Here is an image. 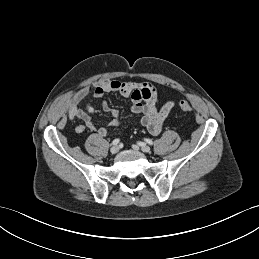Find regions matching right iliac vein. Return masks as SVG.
Returning a JSON list of instances; mask_svg holds the SVG:
<instances>
[{
  "mask_svg": "<svg viewBox=\"0 0 259 259\" xmlns=\"http://www.w3.org/2000/svg\"><path fill=\"white\" fill-rule=\"evenodd\" d=\"M118 151H119V147H118V146H113V147L110 149V152H111L112 154H116Z\"/></svg>",
  "mask_w": 259,
  "mask_h": 259,
  "instance_id": "63e3f726",
  "label": "right iliac vein"
}]
</instances>
